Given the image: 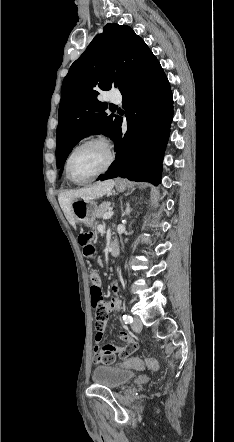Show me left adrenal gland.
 <instances>
[{
  "mask_svg": "<svg viewBox=\"0 0 234 442\" xmlns=\"http://www.w3.org/2000/svg\"><path fill=\"white\" fill-rule=\"evenodd\" d=\"M130 212H131V209H130V205H129V203H127V208H126V211H125V213H124V214H127V215H129V214H130Z\"/></svg>",
  "mask_w": 234,
  "mask_h": 442,
  "instance_id": "1",
  "label": "left adrenal gland"
}]
</instances>
